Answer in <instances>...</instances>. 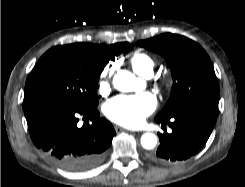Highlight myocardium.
<instances>
[{
    "instance_id": "myocardium-1",
    "label": "myocardium",
    "mask_w": 245,
    "mask_h": 187,
    "mask_svg": "<svg viewBox=\"0 0 245 187\" xmlns=\"http://www.w3.org/2000/svg\"><path fill=\"white\" fill-rule=\"evenodd\" d=\"M159 85L163 90H168L172 85V80L168 76H163L159 79Z\"/></svg>"
}]
</instances>
